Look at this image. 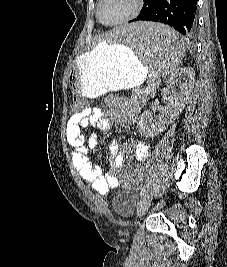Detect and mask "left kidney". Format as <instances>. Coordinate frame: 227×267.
<instances>
[{"mask_svg": "<svg viewBox=\"0 0 227 267\" xmlns=\"http://www.w3.org/2000/svg\"><path fill=\"white\" fill-rule=\"evenodd\" d=\"M195 82V71L190 67H184L174 71V77H167L166 91H171L169 104L162 107L160 115L152 120V114L146 110L142 113L138 128L146 137H154L169 126L182 112L189 100Z\"/></svg>", "mask_w": 227, "mask_h": 267, "instance_id": "obj_1", "label": "left kidney"}]
</instances>
